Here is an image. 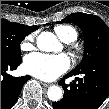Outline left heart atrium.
I'll return each mask as SVG.
<instances>
[{
    "label": "left heart atrium",
    "instance_id": "obj_1",
    "mask_svg": "<svg viewBox=\"0 0 109 109\" xmlns=\"http://www.w3.org/2000/svg\"><path fill=\"white\" fill-rule=\"evenodd\" d=\"M71 67L70 59L64 55L33 53L25 57L24 69L41 80L52 81L67 72Z\"/></svg>",
    "mask_w": 109,
    "mask_h": 109
}]
</instances>
